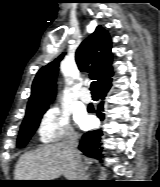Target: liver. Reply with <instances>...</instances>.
Returning <instances> with one entry per match:
<instances>
[{
    "mask_svg": "<svg viewBox=\"0 0 160 187\" xmlns=\"http://www.w3.org/2000/svg\"><path fill=\"white\" fill-rule=\"evenodd\" d=\"M78 180V165L64 143L42 146L23 154L16 165L15 180H55L61 175Z\"/></svg>",
    "mask_w": 160,
    "mask_h": 187,
    "instance_id": "obj_1",
    "label": "liver"
}]
</instances>
